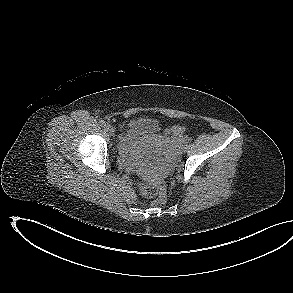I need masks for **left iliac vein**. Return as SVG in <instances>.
Listing matches in <instances>:
<instances>
[{
	"label": "left iliac vein",
	"instance_id": "left-iliac-vein-1",
	"mask_svg": "<svg viewBox=\"0 0 293 293\" xmlns=\"http://www.w3.org/2000/svg\"><path fill=\"white\" fill-rule=\"evenodd\" d=\"M181 150H182V152H186V150H187V145H186L185 143H183V144L181 145Z\"/></svg>",
	"mask_w": 293,
	"mask_h": 293
}]
</instances>
